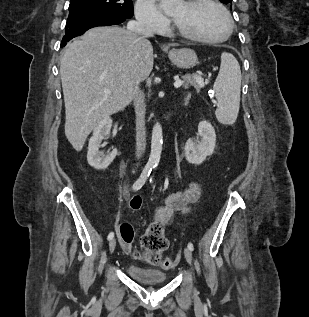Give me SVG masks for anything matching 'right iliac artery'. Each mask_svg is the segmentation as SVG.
<instances>
[{
    "label": "right iliac artery",
    "instance_id": "obj_1",
    "mask_svg": "<svg viewBox=\"0 0 309 317\" xmlns=\"http://www.w3.org/2000/svg\"><path fill=\"white\" fill-rule=\"evenodd\" d=\"M151 170H152V166L151 165H146L140 175V177L137 179V181L133 184V190H139L144 184L145 182L147 181L150 173H151ZM114 237V232H110L108 234V237L107 239L108 240H111L113 239Z\"/></svg>",
    "mask_w": 309,
    "mask_h": 317
}]
</instances>
